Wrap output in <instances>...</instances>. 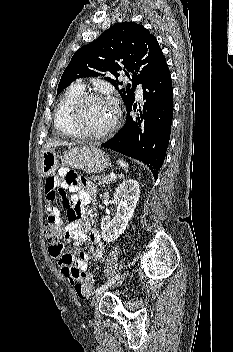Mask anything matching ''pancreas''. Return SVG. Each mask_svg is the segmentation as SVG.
Listing matches in <instances>:
<instances>
[{"instance_id": "1", "label": "pancreas", "mask_w": 233, "mask_h": 352, "mask_svg": "<svg viewBox=\"0 0 233 352\" xmlns=\"http://www.w3.org/2000/svg\"><path fill=\"white\" fill-rule=\"evenodd\" d=\"M93 181L98 180V184L105 186L106 183H110L112 181V178L109 175H102V176H96L92 177Z\"/></svg>"}]
</instances>
